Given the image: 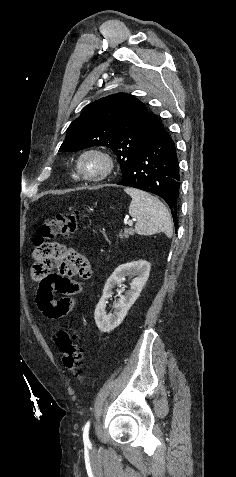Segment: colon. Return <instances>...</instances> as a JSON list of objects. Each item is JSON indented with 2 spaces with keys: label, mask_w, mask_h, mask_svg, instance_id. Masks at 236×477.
Listing matches in <instances>:
<instances>
[{
  "label": "colon",
  "mask_w": 236,
  "mask_h": 477,
  "mask_svg": "<svg viewBox=\"0 0 236 477\" xmlns=\"http://www.w3.org/2000/svg\"><path fill=\"white\" fill-rule=\"evenodd\" d=\"M79 218L80 213L78 212L69 215L60 214L53 219L45 220L38 227L35 234L33 265L35 276L44 274L38 270L42 261L58 252L57 249L50 246L49 242L45 241L54 237H69L73 235L78 229ZM81 272L90 274L91 266L88 263H84ZM76 339V333L62 330L57 334L56 344L65 368L75 377H79L82 374L84 356L82 350L75 343Z\"/></svg>",
  "instance_id": "5ec220e1"
}]
</instances>
